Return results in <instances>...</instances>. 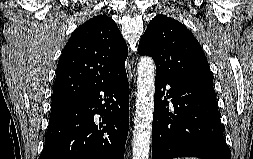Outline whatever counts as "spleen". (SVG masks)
Instances as JSON below:
<instances>
[{"instance_id": "1", "label": "spleen", "mask_w": 253, "mask_h": 159, "mask_svg": "<svg viewBox=\"0 0 253 159\" xmlns=\"http://www.w3.org/2000/svg\"><path fill=\"white\" fill-rule=\"evenodd\" d=\"M177 159H197V158H194V157H186V158H177Z\"/></svg>"}]
</instances>
